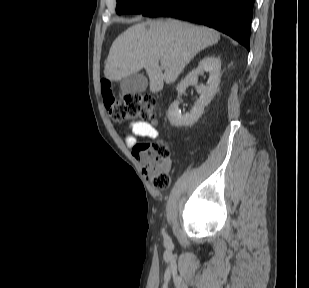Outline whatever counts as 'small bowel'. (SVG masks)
<instances>
[{
    "label": "small bowel",
    "instance_id": "obj_1",
    "mask_svg": "<svg viewBox=\"0 0 309 288\" xmlns=\"http://www.w3.org/2000/svg\"><path fill=\"white\" fill-rule=\"evenodd\" d=\"M129 127L132 131V135H128L126 138L129 147H134L137 142V137L155 139L158 136V130L144 121L132 122Z\"/></svg>",
    "mask_w": 309,
    "mask_h": 288
}]
</instances>
